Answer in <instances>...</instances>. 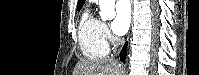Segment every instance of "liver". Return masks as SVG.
<instances>
[{"label": "liver", "mask_w": 199, "mask_h": 75, "mask_svg": "<svg viewBox=\"0 0 199 75\" xmlns=\"http://www.w3.org/2000/svg\"><path fill=\"white\" fill-rule=\"evenodd\" d=\"M120 64L113 60H82L78 62L74 75H121Z\"/></svg>", "instance_id": "obj_1"}]
</instances>
